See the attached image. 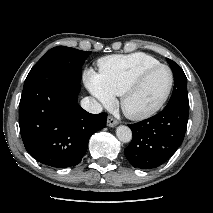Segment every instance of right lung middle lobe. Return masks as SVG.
<instances>
[{
    "label": "right lung middle lobe",
    "mask_w": 213,
    "mask_h": 213,
    "mask_svg": "<svg viewBox=\"0 0 213 213\" xmlns=\"http://www.w3.org/2000/svg\"><path fill=\"white\" fill-rule=\"evenodd\" d=\"M91 52L66 46H57L49 50L31 69L30 72L44 68H58L81 78V67Z\"/></svg>",
    "instance_id": "1"
}]
</instances>
